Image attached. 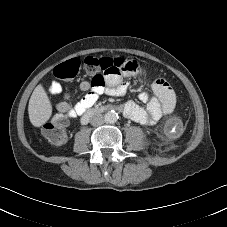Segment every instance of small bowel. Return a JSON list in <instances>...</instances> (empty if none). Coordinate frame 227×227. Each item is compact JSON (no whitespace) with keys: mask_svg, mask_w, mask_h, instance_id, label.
Returning <instances> with one entry per match:
<instances>
[{"mask_svg":"<svg viewBox=\"0 0 227 227\" xmlns=\"http://www.w3.org/2000/svg\"><path fill=\"white\" fill-rule=\"evenodd\" d=\"M137 72H126L122 75H106L104 76V84L95 86L93 82L82 81L79 88L87 92L76 104L71 105L61 99H54L53 105L56 114L66 113L69 118H75L84 113L88 108L92 107L103 93L111 96H122L126 94L131 84L123 80L124 77H130ZM153 97L148 92L141 91L139 99L145 106H140L134 101H127L123 105L124 115L136 122L145 125H154L165 115L172 113L176 107V95L168 81L164 79H156L152 84ZM60 89L52 87L49 95L51 98L58 95Z\"/></svg>","mask_w":227,"mask_h":227,"instance_id":"c3829d8e","label":"small bowel"}]
</instances>
